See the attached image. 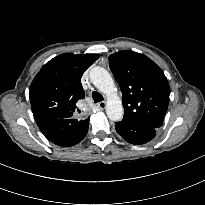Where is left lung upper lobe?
<instances>
[{
	"label": "left lung upper lobe",
	"instance_id": "obj_1",
	"mask_svg": "<svg viewBox=\"0 0 205 205\" xmlns=\"http://www.w3.org/2000/svg\"><path fill=\"white\" fill-rule=\"evenodd\" d=\"M109 66L122 91L124 118L161 127L170 95L163 71L147 56L128 50L110 55Z\"/></svg>",
	"mask_w": 205,
	"mask_h": 205
}]
</instances>
